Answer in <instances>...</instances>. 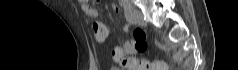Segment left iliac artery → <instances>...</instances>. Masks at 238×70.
I'll return each mask as SVG.
<instances>
[{
    "mask_svg": "<svg viewBox=\"0 0 238 70\" xmlns=\"http://www.w3.org/2000/svg\"><path fill=\"white\" fill-rule=\"evenodd\" d=\"M122 6L124 8V14H125L126 20L130 23H133L132 5L130 4L129 0H123Z\"/></svg>",
    "mask_w": 238,
    "mask_h": 70,
    "instance_id": "left-iliac-artery-1",
    "label": "left iliac artery"
}]
</instances>
